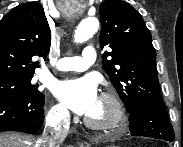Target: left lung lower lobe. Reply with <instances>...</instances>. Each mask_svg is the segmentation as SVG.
Wrapping results in <instances>:
<instances>
[{
  "label": "left lung lower lobe",
  "mask_w": 183,
  "mask_h": 147,
  "mask_svg": "<svg viewBox=\"0 0 183 147\" xmlns=\"http://www.w3.org/2000/svg\"><path fill=\"white\" fill-rule=\"evenodd\" d=\"M129 129L133 136L174 141V131L164 106L143 105L130 112Z\"/></svg>",
  "instance_id": "0a47b994"
}]
</instances>
